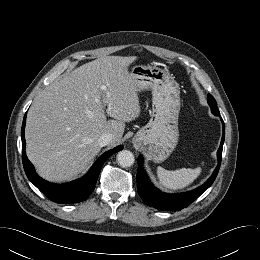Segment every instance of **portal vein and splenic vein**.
<instances>
[{
    "label": "portal vein and splenic vein",
    "mask_w": 260,
    "mask_h": 260,
    "mask_svg": "<svg viewBox=\"0 0 260 260\" xmlns=\"http://www.w3.org/2000/svg\"><path fill=\"white\" fill-rule=\"evenodd\" d=\"M101 88H102V89H105V86H102Z\"/></svg>",
    "instance_id": "portal-vein-and-splenic-vein-1"
}]
</instances>
